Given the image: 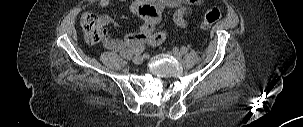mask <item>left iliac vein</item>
Listing matches in <instances>:
<instances>
[{"label": "left iliac vein", "instance_id": "4c4485c4", "mask_svg": "<svg viewBox=\"0 0 303 127\" xmlns=\"http://www.w3.org/2000/svg\"><path fill=\"white\" fill-rule=\"evenodd\" d=\"M170 54L174 56L176 59H181L182 53L178 49H173Z\"/></svg>", "mask_w": 303, "mask_h": 127}]
</instances>
